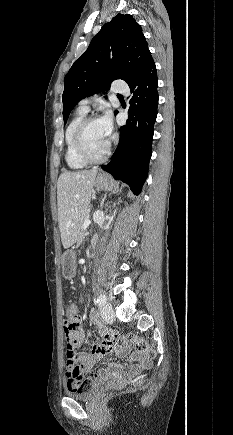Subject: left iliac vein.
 <instances>
[{"label":"left iliac vein","instance_id":"left-iliac-vein-1","mask_svg":"<svg viewBox=\"0 0 233 435\" xmlns=\"http://www.w3.org/2000/svg\"><path fill=\"white\" fill-rule=\"evenodd\" d=\"M101 317L105 322H113L115 319V314L113 307L109 303H105L101 308Z\"/></svg>","mask_w":233,"mask_h":435}]
</instances>
